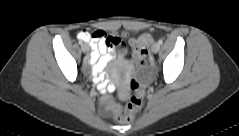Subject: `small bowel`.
<instances>
[{"mask_svg": "<svg viewBox=\"0 0 239 136\" xmlns=\"http://www.w3.org/2000/svg\"><path fill=\"white\" fill-rule=\"evenodd\" d=\"M78 37L91 45L93 51L90 55L89 62L92 64V74L97 78L100 77L107 62L115 54L116 46L106 44V33L102 31H96L92 34L82 32ZM102 86L107 91L112 89V85L108 82H103ZM103 103L110 110H113L115 106L114 102L109 97H106Z\"/></svg>", "mask_w": 239, "mask_h": 136, "instance_id": "c3829d8e", "label": "small bowel"}]
</instances>
